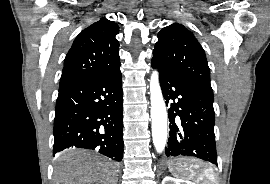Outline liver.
<instances>
[{
	"label": "liver",
	"mask_w": 270,
	"mask_h": 184,
	"mask_svg": "<svg viewBox=\"0 0 270 184\" xmlns=\"http://www.w3.org/2000/svg\"><path fill=\"white\" fill-rule=\"evenodd\" d=\"M63 161L54 171V184H117L114 163L93 157L83 150L57 156Z\"/></svg>",
	"instance_id": "liver-1"
}]
</instances>
